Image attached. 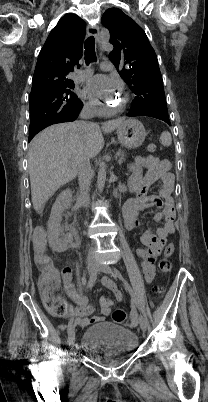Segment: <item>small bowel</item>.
Returning a JSON list of instances; mask_svg holds the SVG:
<instances>
[{
    "instance_id": "small-bowel-1",
    "label": "small bowel",
    "mask_w": 208,
    "mask_h": 402,
    "mask_svg": "<svg viewBox=\"0 0 208 402\" xmlns=\"http://www.w3.org/2000/svg\"><path fill=\"white\" fill-rule=\"evenodd\" d=\"M142 167L147 169V173L142 175ZM170 163L165 159H159L154 156H141L130 168V177L127 188L129 191L137 193V198L130 200L124 207L123 213L125 224L128 229H137L143 225L140 214L143 210L158 206L160 211L156 213L154 220L156 222L163 221V225L155 231L151 228L146 229L141 241L143 246L137 250L138 255L143 259L141 264L142 271L146 282H151L155 274V259L159 252L163 249L167 239L174 234L175 227V210L172 200V190L174 177L170 172ZM160 182L159 198L147 195L152 184ZM43 256H47L45 253ZM62 275L66 277L63 283L67 293L72 299L77 301L74 305L72 320L79 325L81 330H88L90 324H100L102 318H106L112 306V300L102 297L100 299L101 313L100 315L89 316L91 307L87 304L85 298L75 291L70 277V271L64 270ZM102 285L110 290L117 302L124 299L123 292L118 285L109 277L102 278ZM44 299L60 298L59 295H42ZM64 321V318H61ZM71 321V318H67Z\"/></svg>"
}]
</instances>
